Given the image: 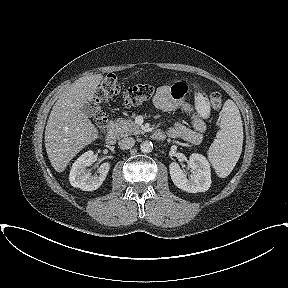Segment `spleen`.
<instances>
[{
    "label": "spleen",
    "instance_id": "obj_1",
    "mask_svg": "<svg viewBox=\"0 0 288 288\" xmlns=\"http://www.w3.org/2000/svg\"><path fill=\"white\" fill-rule=\"evenodd\" d=\"M220 130L208 150V158L220 178L227 177L240 158L243 126L240 112L232 100H227L220 113Z\"/></svg>",
    "mask_w": 288,
    "mask_h": 288
}]
</instances>
